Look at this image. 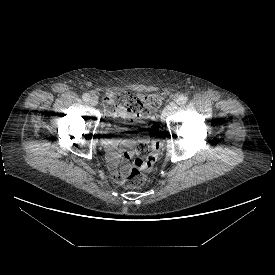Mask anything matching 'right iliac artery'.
<instances>
[{"mask_svg": "<svg viewBox=\"0 0 275 275\" xmlns=\"http://www.w3.org/2000/svg\"><path fill=\"white\" fill-rule=\"evenodd\" d=\"M82 98H83L84 101H89L90 95H89L88 93H84V94L82 95Z\"/></svg>", "mask_w": 275, "mask_h": 275, "instance_id": "1", "label": "right iliac artery"}]
</instances>
